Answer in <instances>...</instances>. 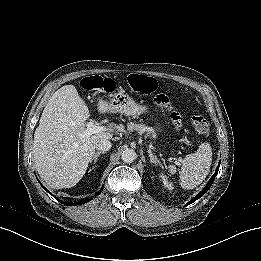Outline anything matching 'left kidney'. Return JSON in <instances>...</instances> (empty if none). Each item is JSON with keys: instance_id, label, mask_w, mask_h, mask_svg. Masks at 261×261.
Returning <instances> with one entry per match:
<instances>
[{"instance_id": "obj_1", "label": "left kidney", "mask_w": 261, "mask_h": 261, "mask_svg": "<svg viewBox=\"0 0 261 261\" xmlns=\"http://www.w3.org/2000/svg\"><path fill=\"white\" fill-rule=\"evenodd\" d=\"M159 177L162 179L165 187H167L169 190L173 188L172 184L167 181V178L164 174L160 175Z\"/></svg>"}]
</instances>
